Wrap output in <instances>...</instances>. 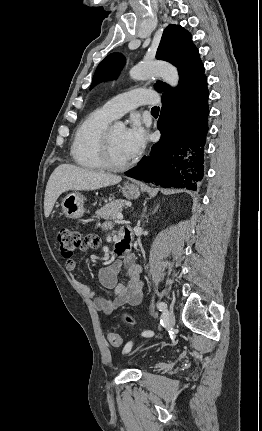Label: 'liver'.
I'll return each instance as SVG.
<instances>
[{
  "label": "liver",
  "instance_id": "1",
  "mask_svg": "<svg viewBox=\"0 0 262 431\" xmlns=\"http://www.w3.org/2000/svg\"><path fill=\"white\" fill-rule=\"evenodd\" d=\"M117 175L96 172L71 164L59 165L51 174L44 197V215L47 218L58 197L70 190H97L121 181Z\"/></svg>",
  "mask_w": 262,
  "mask_h": 431
}]
</instances>
